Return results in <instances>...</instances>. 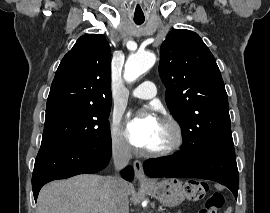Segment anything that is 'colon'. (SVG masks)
Segmentation results:
<instances>
[{
    "label": "colon",
    "mask_w": 270,
    "mask_h": 213,
    "mask_svg": "<svg viewBox=\"0 0 270 213\" xmlns=\"http://www.w3.org/2000/svg\"><path fill=\"white\" fill-rule=\"evenodd\" d=\"M206 189V184L200 180H188L184 184L185 195L193 201L202 199L206 193ZM223 204V195L220 192H214L207 198L204 207L199 213H218Z\"/></svg>",
    "instance_id": "colon-1"
}]
</instances>
